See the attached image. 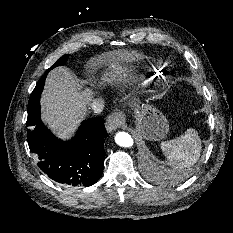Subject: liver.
Listing matches in <instances>:
<instances>
[{
  "label": "liver",
  "instance_id": "liver-1",
  "mask_svg": "<svg viewBox=\"0 0 233 233\" xmlns=\"http://www.w3.org/2000/svg\"><path fill=\"white\" fill-rule=\"evenodd\" d=\"M115 69L108 82H129L135 75L128 73L127 68L110 65ZM117 78V79H116ZM92 91H81L75 76L68 68L58 67L52 70L45 81L41 96L42 119L56 134L64 139L70 138L87 113V105L92 100Z\"/></svg>",
  "mask_w": 233,
  "mask_h": 233
}]
</instances>
